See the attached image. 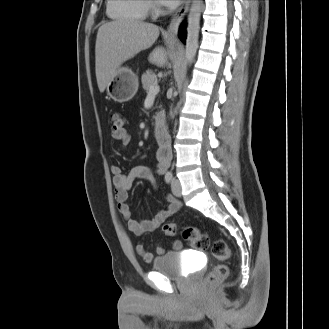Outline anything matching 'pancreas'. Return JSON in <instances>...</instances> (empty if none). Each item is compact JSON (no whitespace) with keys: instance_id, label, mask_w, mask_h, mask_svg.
<instances>
[{"instance_id":"pancreas-1","label":"pancreas","mask_w":329,"mask_h":329,"mask_svg":"<svg viewBox=\"0 0 329 329\" xmlns=\"http://www.w3.org/2000/svg\"><path fill=\"white\" fill-rule=\"evenodd\" d=\"M141 81L143 89L148 92L150 86L156 83L157 77L152 70H147L145 73H143Z\"/></svg>"}]
</instances>
